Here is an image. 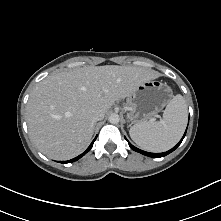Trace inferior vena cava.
I'll return each instance as SVG.
<instances>
[{"mask_svg":"<svg viewBox=\"0 0 221 221\" xmlns=\"http://www.w3.org/2000/svg\"><path fill=\"white\" fill-rule=\"evenodd\" d=\"M104 113L103 112H101V111H99V112H96L94 115H93V117H92V121L95 123V122H97V121H99V120H102L103 118H104Z\"/></svg>","mask_w":221,"mask_h":221,"instance_id":"obj_1","label":"inferior vena cava"}]
</instances>
